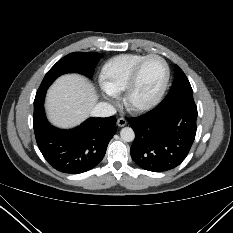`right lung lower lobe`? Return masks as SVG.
Here are the masks:
<instances>
[{
  "label": "right lung lower lobe",
  "mask_w": 233,
  "mask_h": 233,
  "mask_svg": "<svg viewBox=\"0 0 233 233\" xmlns=\"http://www.w3.org/2000/svg\"><path fill=\"white\" fill-rule=\"evenodd\" d=\"M45 92L34 100V132L38 147L55 169L79 174L98 165L117 131L116 118H89L79 127L61 130L49 124L44 112Z\"/></svg>",
  "instance_id": "98d812e1"
}]
</instances>
